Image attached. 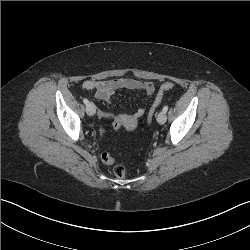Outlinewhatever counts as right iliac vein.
I'll return each instance as SVG.
<instances>
[{"label": "right iliac vein", "instance_id": "1", "mask_svg": "<svg viewBox=\"0 0 250 250\" xmlns=\"http://www.w3.org/2000/svg\"><path fill=\"white\" fill-rule=\"evenodd\" d=\"M86 112L89 116H93L96 112V106L92 102L88 103L86 106Z\"/></svg>", "mask_w": 250, "mask_h": 250}]
</instances>
